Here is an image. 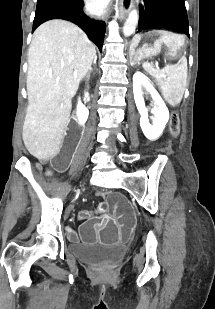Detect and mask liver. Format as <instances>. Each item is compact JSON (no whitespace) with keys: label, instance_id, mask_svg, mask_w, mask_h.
Listing matches in <instances>:
<instances>
[{"label":"liver","instance_id":"obj_1","mask_svg":"<svg viewBox=\"0 0 215 309\" xmlns=\"http://www.w3.org/2000/svg\"><path fill=\"white\" fill-rule=\"evenodd\" d=\"M95 54V44L73 22L55 18L36 28L28 52L29 104L22 138L37 159L48 161L60 152L71 98Z\"/></svg>","mask_w":215,"mask_h":309}]
</instances>
